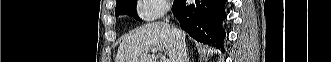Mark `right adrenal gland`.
Listing matches in <instances>:
<instances>
[{
  "mask_svg": "<svg viewBox=\"0 0 331 62\" xmlns=\"http://www.w3.org/2000/svg\"><path fill=\"white\" fill-rule=\"evenodd\" d=\"M187 62H189V58H187Z\"/></svg>",
  "mask_w": 331,
  "mask_h": 62,
  "instance_id": "2a0ac1e0",
  "label": "right adrenal gland"
}]
</instances>
